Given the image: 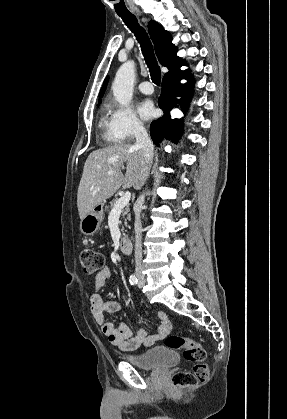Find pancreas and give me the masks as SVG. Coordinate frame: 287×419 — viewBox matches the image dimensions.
Instances as JSON below:
<instances>
[{"mask_svg": "<svg viewBox=\"0 0 287 419\" xmlns=\"http://www.w3.org/2000/svg\"><path fill=\"white\" fill-rule=\"evenodd\" d=\"M116 202H117V199H114V200H112L110 203H109V205H107L106 207H105V210L106 211H109V210H111V209H113V207H114V205L116 204ZM130 208H129V205H127L123 210H122V218L123 219H125V216L127 217V219L128 220H130V218H131V215H130ZM125 226H127V222L125 221Z\"/></svg>", "mask_w": 287, "mask_h": 419, "instance_id": "cf45deb5", "label": "pancreas"}]
</instances>
